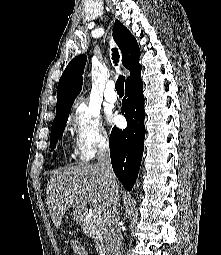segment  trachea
Returning <instances> with one entry per match:
<instances>
[{
	"instance_id": "obj_1",
	"label": "trachea",
	"mask_w": 221,
	"mask_h": 255,
	"mask_svg": "<svg viewBox=\"0 0 221 255\" xmlns=\"http://www.w3.org/2000/svg\"><path fill=\"white\" fill-rule=\"evenodd\" d=\"M112 51H113V53H112L113 63H115L117 65L118 59H119L117 48H113ZM115 89H116L117 93H124V76L120 75L118 77L116 84H115Z\"/></svg>"
}]
</instances>
